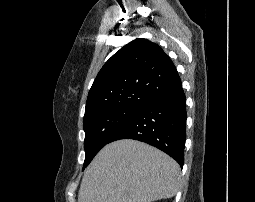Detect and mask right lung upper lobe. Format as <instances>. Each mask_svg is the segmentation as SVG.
I'll return each mask as SVG.
<instances>
[{
  "mask_svg": "<svg viewBox=\"0 0 255 202\" xmlns=\"http://www.w3.org/2000/svg\"><path fill=\"white\" fill-rule=\"evenodd\" d=\"M180 87V77L169 56L157 44L138 38L117 51L99 71L88 94L84 117L110 108H140Z\"/></svg>",
  "mask_w": 255,
  "mask_h": 202,
  "instance_id": "1",
  "label": "right lung upper lobe"
}]
</instances>
